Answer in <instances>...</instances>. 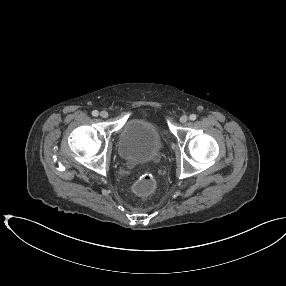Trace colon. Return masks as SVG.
I'll list each match as a JSON object with an SVG mask.
<instances>
[{
    "instance_id": "1",
    "label": "colon",
    "mask_w": 286,
    "mask_h": 286,
    "mask_svg": "<svg viewBox=\"0 0 286 286\" xmlns=\"http://www.w3.org/2000/svg\"><path fill=\"white\" fill-rule=\"evenodd\" d=\"M155 189V180L152 174L145 173L134 184L133 190L138 196H148Z\"/></svg>"
}]
</instances>
